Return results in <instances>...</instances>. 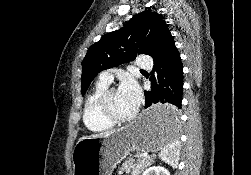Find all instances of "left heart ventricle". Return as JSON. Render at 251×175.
<instances>
[{
  "mask_svg": "<svg viewBox=\"0 0 251 175\" xmlns=\"http://www.w3.org/2000/svg\"><path fill=\"white\" fill-rule=\"evenodd\" d=\"M109 107L112 113L118 116H128L132 114L129 108L121 101L118 90L111 94L109 99Z\"/></svg>",
  "mask_w": 251,
  "mask_h": 175,
  "instance_id": "1",
  "label": "left heart ventricle"
}]
</instances>
